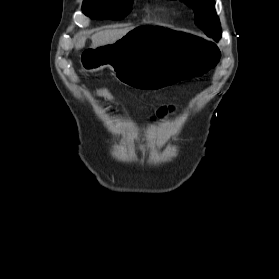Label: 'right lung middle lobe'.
Segmentation results:
<instances>
[{"label":"right lung middle lobe","instance_id":"dd1d6c3e","mask_svg":"<svg viewBox=\"0 0 279 279\" xmlns=\"http://www.w3.org/2000/svg\"><path fill=\"white\" fill-rule=\"evenodd\" d=\"M132 3L133 0H84L82 10L90 18L117 20L129 13Z\"/></svg>","mask_w":279,"mask_h":279}]
</instances>
